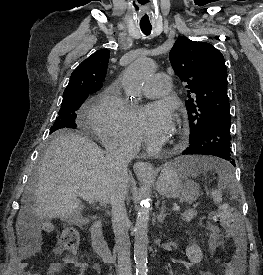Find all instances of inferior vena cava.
Wrapping results in <instances>:
<instances>
[{
  "label": "inferior vena cava",
  "instance_id": "602c4592",
  "mask_svg": "<svg viewBox=\"0 0 263 275\" xmlns=\"http://www.w3.org/2000/svg\"><path fill=\"white\" fill-rule=\"evenodd\" d=\"M135 155L126 142H115L107 146L106 159L116 183L111 196L112 226L118 253V275H132L130 263L129 219L125 208L127 194V166Z\"/></svg>",
  "mask_w": 263,
  "mask_h": 275
}]
</instances>
